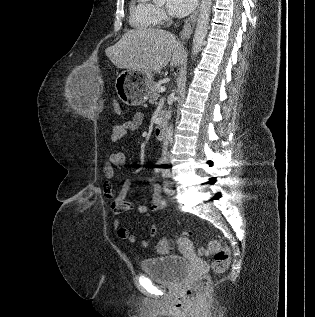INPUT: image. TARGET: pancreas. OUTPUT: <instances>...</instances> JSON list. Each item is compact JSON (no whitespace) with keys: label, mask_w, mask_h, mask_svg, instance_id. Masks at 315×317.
Listing matches in <instances>:
<instances>
[{"label":"pancreas","mask_w":315,"mask_h":317,"mask_svg":"<svg viewBox=\"0 0 315 317\" xmlns=\"http://www.w3.org/2000/svg\"><path fill=\"white\" fill-rule=\"evenodd\" d=\"M159 89H160V86L158 84H153L151 93H150V99H149V102L151 104L155 103L156 100L158 99L159 93H160Z\"/></svg>","instance_id":"1"}]
</instances>
